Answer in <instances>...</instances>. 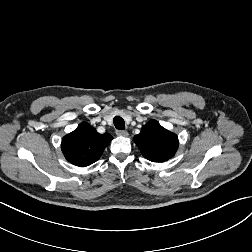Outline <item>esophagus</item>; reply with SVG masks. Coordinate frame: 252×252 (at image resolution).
<instances>
[{
    "instance_id": "1",
    "label": "esophagus",
    "mask_w": 252,
    "mask_h": 252,
    "mask_svg": "<svg viewBox=\"0 0 252 252\" xmlns=\"http://www.w3.org/2000/svg\"><path fill=\"white\" fill-rule=\"evenodd\" d=\"M116 134H117L118 136H123V137L128 136V132L125 131V130H117V131H116Z\"/></svg>"
}]
</instances>
